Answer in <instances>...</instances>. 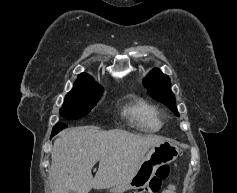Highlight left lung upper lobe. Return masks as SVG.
Listing matches in <instances>:
<instances>
[{"instance_id":"obj_1","label":"left lung upper lobe","mask_w":237,"mask_h":193,"mask_svg":"<svg viewBox=\"0 0 237 193\" xmlns=\"http://www.w3.org/2000/svg\"><path fill=\"white\" fill-rule=\"evenodd\" d=\"M143 84L148 88V92L153 99L166 104L177 116H179L168 76L163 74L159 69H153L143 80Z\"/></svg>"}]
</instances>
